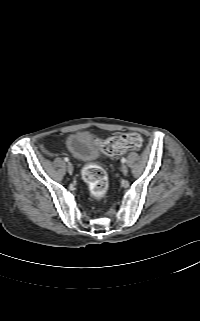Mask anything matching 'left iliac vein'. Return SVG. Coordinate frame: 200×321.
Instances as JSON below:
<instances>
[{
  "mask_svg": "<svg viewBox=\"0 0 200 321\" xmlns=\"http://www.w3.org/2000/svg\"><path fill=\"white\" fill-rule=\"evenodd\" d=\"M121 170H122V173H123L124 175H127V173H128V168H127V166H126L125 164H123V165L121 166Z\"/></svg>",
  "mask_w": 200,
  "mask_h": 321,
  "instance_id": "obj_1",
  "label": "left iliac vein"
}]
</instances>
